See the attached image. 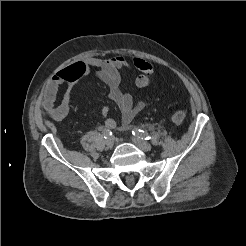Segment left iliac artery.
Listing matches in <instances>:
<instances>
[{
  "mask_svg": "<svg viewBox=\"0 0 246 246\" xmlns=\"http://www.w3.org/2000/svg\"><path fill=\"white\" fill-rule=\"evenodd\" d=\"M132 134L145 140L151 139L150 135L146 131L141 129L134 128L132 130Z\"/></svg>",
  "mask_w": 246,
  "mask_h": 246,
  "instance_id": "1",
  "label": "left iliac artery"
}]
</instances>
